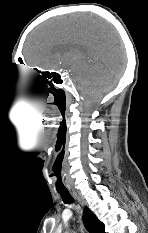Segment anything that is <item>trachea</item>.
I'll use <instances>...</instances> for the list:
<instances>
[{"label": "trachea", "mask_w": 148, "mask_h": 233, "mask_svg": "<svg viewBox=\"0 0 148 233\" xmlns=\"http://www.w3.org/2000/svg\"><path fill=\"white\" fill-rule=\"evenodd\" d=\"M65 204L73 203L74 200L68 191H57Z\"/></svg>", "instance_id": "obj_1"}]
</instances>
